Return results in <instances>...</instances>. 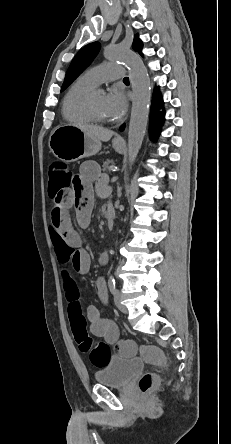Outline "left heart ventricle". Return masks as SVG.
Listing matches in <instances>:
<instances>
[{
	"instance_id": "obj_1",
	"label": "left heart ventricle",
	"mask_w": 231,
	"mask_h": 444,
	"mask_svg": "<svg viewBox=\"0 0 231 444\" xmlns=\"http://www.w3.org/2000/svg\"><path fill=\"white\" fill-rule=\"evenodd\" d=\"M105 94L102 92H96L93 97L94 106L96 108V111L98 114L106 119H112V117L109 115L106 104H105Z\"/></svg>"
}]
</instances>
